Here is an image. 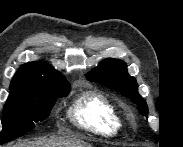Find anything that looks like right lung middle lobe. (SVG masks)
Returning a JSON list of instances; mask_svg holds the SVG:
<instances>
[{
  "mask_svg": "<svg viewBox=\"0 0 183 147\" xmlns=\"http://www.w3.org/2000/svg\"><path fill=\"white\" fill-rule=\"evenodd\" d=\"M68 93L69 85L62 88H10L3 109L0 145L34 129L35 123L48 118L56 98Z\"/></svg>",
  "mask_w": 183,
  "mask_h": 147,
  "instance_id": "dd1d6c3e",
  "label": "right lung middle lobe"
}]
</instances>
